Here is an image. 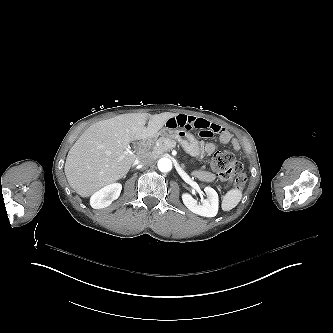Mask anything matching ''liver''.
I'll use <instances>...</instances> for the list:
<instances>
[{"label": "liver", "mask_w": 333, "mask_h": 333, "mask_svg": "<svg viewBox=\"0 0 333 333\" xmlns=\"http://www.w3.org/2000/svg\"><path fill=\"white\" fill-rule=\"evenodd\" d=\"M176 116L171 112L128 113L92 124L68 152L64 171L69 185L77 194L89 197L124 177L138 159L129 152V143L158 136L166 122Z\"/></svg>", "instance_id": "6515ba94"}]
</instances>
